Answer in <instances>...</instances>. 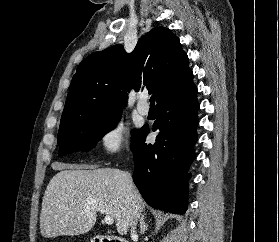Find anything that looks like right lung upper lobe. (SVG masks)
Listing matches in <instances>:
<instances>
[{"instance_id": "obj_1", "label": "right lung upper lobe", "mask_w": 279, "mask_h": 242, "mask_svg": "<svg viewBox=\"0 0 279 242\" xmlns=\"http://www.w3.org/2000/svg\"><path fill=\"white\" fill-rule=\"evenodd\" d=\"M188 56L171 30L156 27L131 54L120 44L85 58L73 76L60 126L121 114L126 91L144 87L157 93V105L193 84Z\"/></svg>"}]
</instances>
